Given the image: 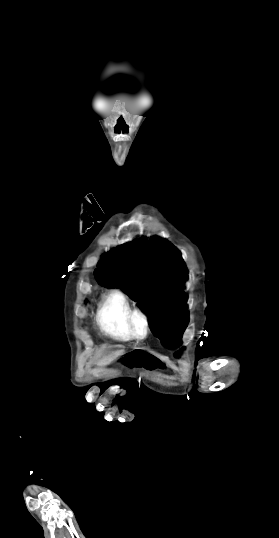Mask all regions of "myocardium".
Masks as SVG:
<instances>
[{
  "mask_svg": "<svg viewBox=\"0 0 279 538\" xmlns=\"http://www.w3.org/2000/svg\"><path fill=\"white\" fill-rule=\"evenodd\" d=\"M139 319L142 322V333H138L136 330V320ZM127 328L130 336L138 341L145 340L150 334V322L148 316L140 309H132L127 316Z\"/></svg>",
  "mask_w": 279,
  "mask_h": 538,
  "instance_id": "f54148a6",
  "label": "myocardium"
}]
</instances>
